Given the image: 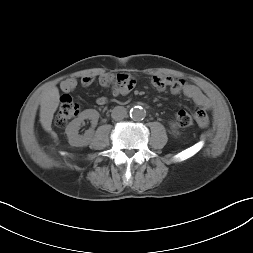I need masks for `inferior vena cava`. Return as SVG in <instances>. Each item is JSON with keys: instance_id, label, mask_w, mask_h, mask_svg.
<instances>
[{"instance_id": "obj_1", "label": "inferior vena cava", "mask_w": 253, "mask_h": 253, "mask_svg": "<svg viewBox=\"0 0 253 253\" xmlns=\"http://www.w3.org/2000/svg\"><path fill=\"white\" fill-rule=\"evenodd\" d=\"M127 111L122 106H117L112 110L111 116L114 120L119 121L126 117Z\"/></svg>"}]
</instances>
